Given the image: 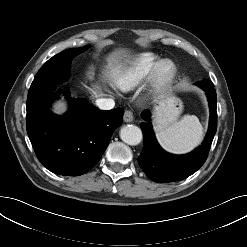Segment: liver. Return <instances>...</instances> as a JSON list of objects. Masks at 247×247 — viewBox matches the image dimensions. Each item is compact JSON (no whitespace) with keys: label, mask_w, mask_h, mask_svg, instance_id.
Masks as SVG:
<instances>
[{"label":"liver","mask_w":247,"mask_h":247,"mask_svg":"<svg viewBox=\"0 0 247 247\" xmlns=\"http://www.w3.org/2000/svg\"><path fill=\"white\" fill-rule=\"evenodd\" d=\"M121 55H123L124 57L126 56L124 51L112 55V57L109 59L108 71L106 72V75H112L119 72L121 68V65L119 64V61L122 58ZM92 93L94 97H99L102 95L101 93H98L97 90H92Z\"/></svg>","instance_id":"1"}]
</instances>
